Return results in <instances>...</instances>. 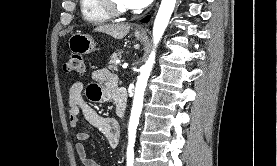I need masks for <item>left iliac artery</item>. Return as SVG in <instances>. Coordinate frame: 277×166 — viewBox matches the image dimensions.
<instances>
[{
	"mask_svg": "<svg viewBox=\"0 0 277 166\" xmlns=\"http://www.w3.org/2000/svg\"><path fill=\"white\" fill-rule=\"evenodd\" d=\"M134 163V153H127V166H133Z\"/></svg>",
	"mask_w": 277,
	"mask_h": 166,
	"instance_id": "obj_1",
	"label": "left iliac artery"
}]
</instances>
